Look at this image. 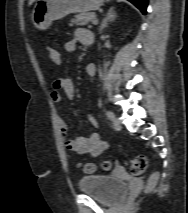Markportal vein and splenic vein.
Wrapping results in <instances>:
<instances>
[{"label": "portal vein and splenic vein", "instance_id": "obj_1", "mask_svg": "<svg viewBox=\"0 0 188 213\" xmlns=\"http://www.w3.org/2000/svg\"><path fill=\"white\" fill-rule=\"evenodd\" d=\"M92 24H94V25L98 24V20L97 19H93L92 20Z\"/></svg>", "mask_w": 188, "mask_h": 213}]
</instances>
